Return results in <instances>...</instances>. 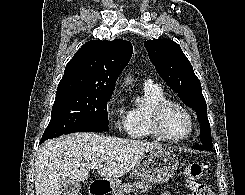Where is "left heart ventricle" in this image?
<instances>
[{
    "instance_id": "left-heart-ventricle-1",
    "label": "left heart ventricle",
    "mask_w": 245,
    "mask_h": 195,
    "mask_svg": "<svg viewBox=\"0 0 245 195\" xmlns=\"http://www.w3.org/2000/svg\"><path fill=\"white\" fill-rule=\"evenodd\" d=\"M162 128L170 137H181L189 129V120L186 113L176 106L167 108L162 117Z\"/></svg>"
}]
</instances>
